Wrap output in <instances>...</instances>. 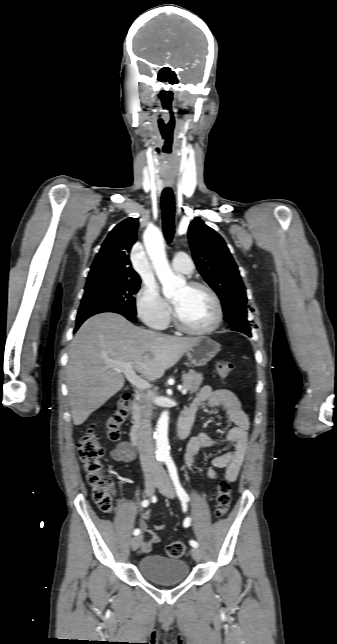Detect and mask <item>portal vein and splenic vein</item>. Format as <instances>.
I'll list each match as a JSON object with an SVG mask.
<instances>
[{"label":"portal vein and splenic vein","mask_w":337,"mask_h":644,"mask_svg":"<svg viewBox=\"0 0 337 644\" xmlns=\"http://www.w3.org/2000/svg\"><path fill=\"white\" fill-rule=\"evenodd\" d=\"M111 366L121 370L125 374V376L128 379V381L131 384H133L134 386H136L137 388L148 389V388L151 387V385L147 381H145L142 378H140L133 371L131 362H127V363H125V362H113ZM181 392H182L183 395H186L187 389L182 388Z\"/></svg>","instance_id":"18ae733b"}]
</instances>
